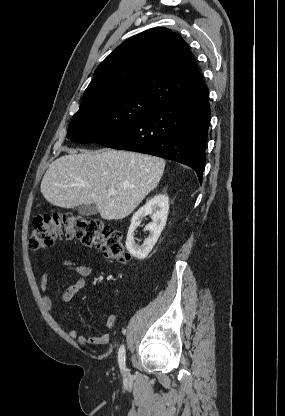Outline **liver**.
<instances>
[{"label":"liver","instance_id":"liver-1","mask_svg":"<svg viewBox=\"0 0 285 416\" xmlns=\"http://www.w3.org/2000/svg\"><path fill=\"white\" fill-rule=\"evenodd\" d=\"M50 164L41 192L53 206L76 208L95 204L103 220H122L158 186L165 162L124 150H67ZM108 190H115L109 196Z\"/></svg>","mask_w":285,"mask_h":416}]
</instances>
